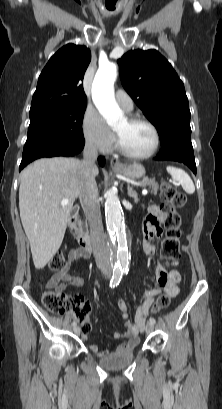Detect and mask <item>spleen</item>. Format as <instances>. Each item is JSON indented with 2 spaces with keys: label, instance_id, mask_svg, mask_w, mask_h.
Returning <instances> with one entry per match:
<instances>
[{
  "label": "spleen",
  "instance_id": "1",
  "mask_svg": "<svg viewBox=\"0 0 222 409\" xmlns=\"http://www.w3.org/2000/svg\"><path fill=\"white\" fill-rule=\"evenodd\" d=\"M167 172L172 176L174 180L179 182L183 190L188 194H193L195 192V186L190 178V176L182 169L168 166Z\"/></svg>",
  "mask_w": 222,
  "mask_h": 409
}]
</instances>
